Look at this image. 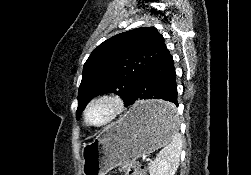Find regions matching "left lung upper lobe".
<instances>
[{"label":"left lung upper lobe","mask_w":251,"mask_h":175,"mask_svg":"<svg viewBox=\"0 0 251 175\" xmlns=\"http://www.w3.org/2000/svg\"><path fill=\"white\" fill-rule=\"evenodd\" d=\"M166 49L155 27L136 28L101 43L84 64L76 118L99 94L115 93L126 103L140 78Z\"/></svg>","instance_id":"obj_1"}]
</instances>
